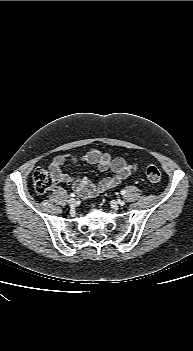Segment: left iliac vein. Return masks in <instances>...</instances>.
Returning a JSON list of instances; mask_svg holds the SVG:
<instances>
[{
    "label": "left iliac vein",
    "instance_id": "4c4485c4",
    "mask_svg": "<svg viewBox=\"0 0 193 351\" xmlns=\"http://www.w3.org/2000/svg\"><path fill=\"white\" fill-rule=\"evenodd\" d=\"M118 204H119L120 206H123V205L125 204V202H124L123 200H118Z\"/></svg>",
    "mask_w": 193,
    "mask_h": 351
}]
</instances>
